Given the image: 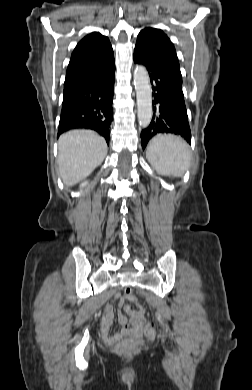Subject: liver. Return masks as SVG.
Instances as JSON below:
<instances>
[{
    "label": "liver",
    "mask_w": 252,
    "mask_h": 390,
    "mask_svg": "<svg viewBox=\"0 0 252 390\" xmlns=\"http://www.w3.org/2000/svg\"><path fill=\"white\" fill-rule=\"evenodd\" d=\"M58 149V168L67 186L89 176L107 154L105 139L91 130H72L63 134Z\"/></svg>",
    "instance_id": "obj_1"
}]
</instances>
